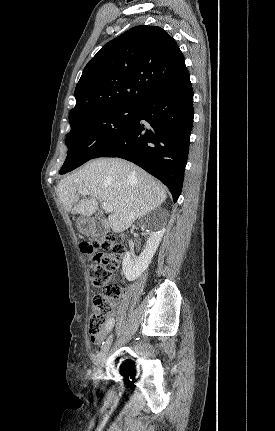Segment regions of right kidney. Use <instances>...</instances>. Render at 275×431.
<instances>
[{
    "instance_id": "right-kidney-1",
    "label": "right kidney",
    "mask_w": 275,
    "mask_h": 431,
    "mask_svg": "<svg viewBox=\"0 0 275 431\" xmlns=\"http://www.w3.org/2000/svg\"><path fill=\"white\" fill-rule=\"evenodd\" d=\"M163 235L164 230L151 231L145 249L138 257L126 252L122 262V269L128 281L136 280L148 268Z\"/></svg>"
}]
</instances>
